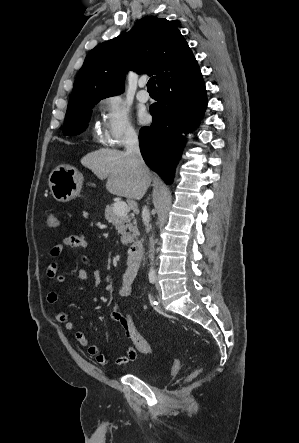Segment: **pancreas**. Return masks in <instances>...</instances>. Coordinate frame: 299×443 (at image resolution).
<instances>
[{
	"label": "pancreas",
	"instance_id": "obj_1",
	"mask_svg": "<svg viewBox=\"0 0 299 443\" xmlns=\"http://www.w3.org/2000/svg\"><path fill=\"white\" fill-rule=\"evenodd\" d=\"M113 208L114 204L106 206L105 218L115 226L118 234L121 235V242L123 245L132 243L139 234L134 215L128 213L123 216H118L114 213Z\"/></svg>",
	"mask_w": 299,
	"mask_h": 443
}]
</instances>
